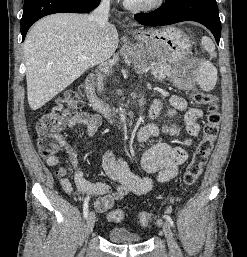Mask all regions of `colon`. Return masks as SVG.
I'll list each match as a JSON object with an SVG mask.
<instances>
[{
	"label": "colon",
	"instance_id": "1",
	"mask_svg": "<svg viewBox=\"0 0 247 257\" xmlns=\"http://www.w3.org/2000/svg\"><path fill=\"white\" fill-rule=\"evenodd\" d=\"M192 97L197 104L207 106V114L203 125L202 137L183 174L182 181L185 188L192 186L201 175L213 149L221 120L218 97L216 95L196 91L192 94ZM82 104V87L68 89L56 100L51 109L42 115L36 125V131L39 152L43 157L47 158L59 152L61 149L59 132L64 127L66 120ZM124 218L125 213L120 209L113 210L108 214V219L112 222L118 223ZM150 219V214L147 212L142 211L137 214V221L142 227H146Z\"/></svg>",
	"mask_w": 247,
	"mask_h": 257
}]
</instances>
